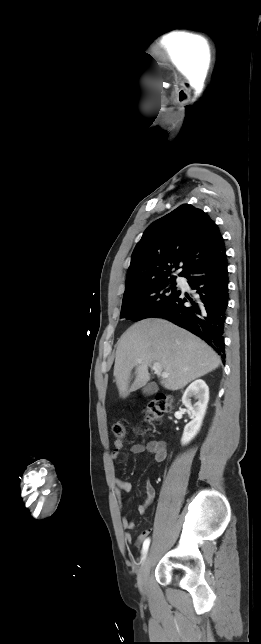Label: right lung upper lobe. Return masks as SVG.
I'll return each mask as SVG.
<instances>
[{"label": "right lung upper lobe", "instance_id": "1", "mask_svg": "<svg viewBox=\"0 0 261 644\" xmlns=\"http://www.w3.org/2000/svg\"><path fill=\"white\" fill-rule=\"evenodd\" d=\"M218 226L192 205L184 204L153 222L143 233L131 256L125 289L167 279L181 267L189 270L225 257ZM176 276H171L174 278Z\"/></svg>", "mask_w": 261, "mask_h": 644}]
</instances>
